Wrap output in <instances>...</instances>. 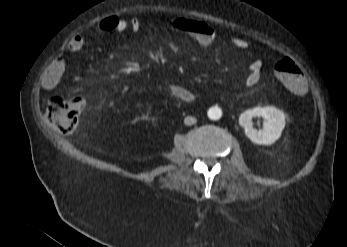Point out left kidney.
Instances as JSON below:
<instances>
[{
  "instance_id": "left-kidney-1",
  "label": "left kidney",
  "mask_w": 347,
  "mask_h": 247,
  "mask_svg": "<svg viewBox=\"0 0 347 247\" xmlns=\"http://www.w3.org/2000/svg\"><path fill=\"white\" fill-rule=\"evenodd\" d=\"M265 119L263 129L253 128L252 118ZM239 124L244 128L246 136L256 144L271 145L279 139L285 127V115L276 107H255L246 110L239 117Z\"/></svg>"
}]
</instances>
